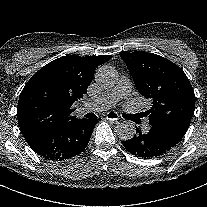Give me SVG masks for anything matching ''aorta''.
<instances>
[{"label": "aorta", "mask_w": 207, "mask_h": 207, "mask_svg": "<svg viewBox=\"0 0 207 207\" xmlns=\"http://www.w3.org/2000/svg\"><path fill=\"white\" fill-rule=\"evenodd\" d=\"M95 80L104 89L112 88L118 81V72L112 66H101L95 74ZM116 133L120 139L127 141L134 137L136 128L132 122L123 121L117 124Z\"/></svg>", "instance_id": "obj_1"}]
</instances>
